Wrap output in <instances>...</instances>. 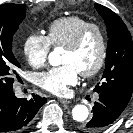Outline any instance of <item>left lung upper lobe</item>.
<instances>
[{
  "label": "left lung upper lobe",
  "instance_id": "obj_1",
  "mask_svg": "<svg viewBox=\"0 0 133 133\" xmlns=\"http://www.w3.org/2000/svg\"><path fill=\"white\" fill-rule=\"evenodd\" d=\"M105 20L109 41L102 83L94 91L107 92L129 102L133 92V42L121 18L100 4H95Z\"/></svg>",
  "mask_w": 133,
  "mask_h": 133
}]
</instances>
